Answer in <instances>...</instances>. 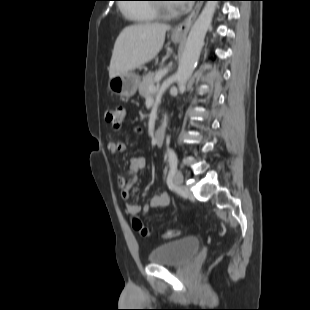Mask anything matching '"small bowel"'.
<instances>
[{
  "instance_id": "small-bowel-1",
  "label": "small bowel",
  "mask_w": 310,
  "mask_h": 310,
  "mask_svg": "<svg viewBox=\"0 0 310 310\" xmlns=\"http://www.w3.org/2000/svg\"><path fill=\"white\" fill-rule=\"evenodd\" d=\"M132 132L141 134L140 127H133ZM106 150L111 155H118L125 150L122 142L114 139H109ZM145 159L141 156H135L130 159V164L125 173H123L117 181L118 187L121 191V197L125 202V209L129 214H143L146 215L151 209H163L169 204V196L167 193H161L152 196L141 208L130 200V189L138 182L139 174L145 167Z\"/></svg>"
}]
</instances>
